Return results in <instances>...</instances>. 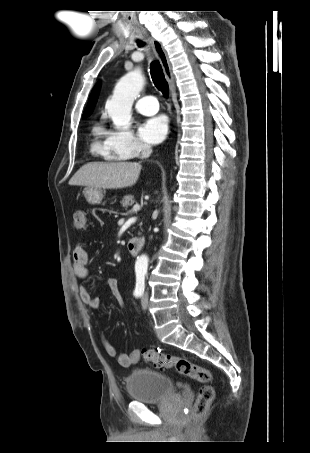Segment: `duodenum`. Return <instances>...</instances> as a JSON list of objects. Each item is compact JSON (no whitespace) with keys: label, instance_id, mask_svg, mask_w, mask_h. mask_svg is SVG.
<instances>
[{"label":"duodenum","instance_id":"duodenum-1","mask_svg":"<svg viewBox=\"0 0 310 453\" xmlns=\"http://www.w3.org/2000/svg\"><path fill=\"white\" fill-rule=\"evenodd\" d=\"M145 240L141 237L132 238L128 241L127 248L132 256H136L144 247Z\"/></svg>","mask_w":310,"mask_h":453}]
</instances>
